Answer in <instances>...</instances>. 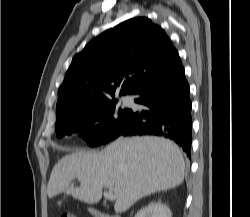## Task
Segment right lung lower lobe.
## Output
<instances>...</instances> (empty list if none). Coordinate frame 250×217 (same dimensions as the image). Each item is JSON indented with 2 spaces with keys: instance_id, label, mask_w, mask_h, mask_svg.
I'll use <instances>...</instances> for the list:
<instances>
[{
  "instance_id": "obj_1",
  "label": "right lung lower lobe",
  "mask_w": 250,
  "mask_h": 217,
  "mask_svg": "<svg viewBox=\"0 0 250 217\" xmlns=\"http://www.w3.org/2000/svg\"><path fill=\"white\" fill-rule=\"evenodd\" d=\"M135 103L146 110L132 111L121 135H158L174 140L190 157L191 100L184 68L178 57L159 77L135 93Z\"/></svg>"
}]
</instances>
